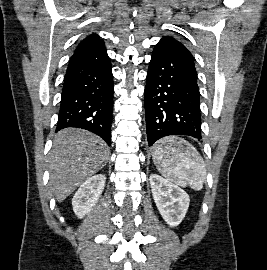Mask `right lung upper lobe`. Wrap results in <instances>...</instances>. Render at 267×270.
<instances>
[{"instance_id": "right-lung-upper-lobe-1", "label": "right lung upper lobe", "mask_w": 267, "mask_h": 270, "mask_svg": "<svg viewBox=\"0 0 267 270\" xmlns=\"http://www.w3.org/2000/svg\"><path fill=\"white\" fill-rule=\"evenodd\" d=\"M102 43H103V41L101 39H99V36H97L96 34H92L80 42V44L76 48L75 52L82 50L84 48L99 45Z\"/></svg>"}]
</instances>
